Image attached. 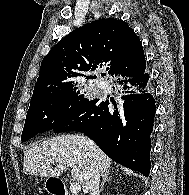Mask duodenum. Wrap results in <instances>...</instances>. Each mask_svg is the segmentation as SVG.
<instances>
[{
    "mask_svg": "<svg viewBox=\"0 0 189 195\" xmlns=\"http://www.w3.org/2000/svg\"><path fill=\"white\" fill-rule=\"evenodd\" d=\"M52 195H69V192L60 180H55L50 187Z\"/></svg>",
    "mask_w": 189,
    "mask_h": 195,
    "instance_id": "410a0bca",
    "label": "duodenum"
}]
</instances>
